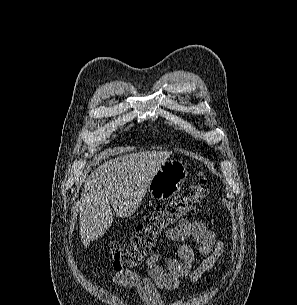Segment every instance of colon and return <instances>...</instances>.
Masks as SVG:
<instances>
[{
	"instance_id": "colon-1",
	"label": "colon",
	"mask_w": 297,
	"mask_h": 305,
	"mask_svg": "<svg viewBox=\"0 0 297 305\" xmlns=\"http://www.w3.org/2000/svg\"><path fill=\"white\" fill-rule=\"evenodd\" d=\"M208 192L207 180L199 178L181 195L158 204L153 213L138 224L135 234L127 244L113 246V268L116 271H126L139 266L151 253L157 239L166 229L200 211Z\"/></svg>"
}]
</instances>
